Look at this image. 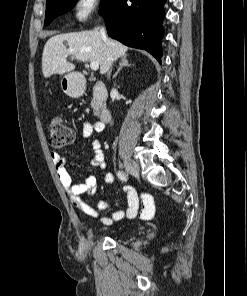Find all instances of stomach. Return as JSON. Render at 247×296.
I'll use <instances>...</instances> for the list:
<instances>
[{"instance_id": "1", "label": "stomach", "mask_w": 247, "mask_h": 296, "mask_svg": "<svg viewBox=\"0 0 247 296\" xmlns=\"http://www.w3.org/2000/svg\"><path fill=\"white\" fill-rule=\"evenodd\" d=\"M61 86L65 93L70 96H78L82 92L81 86L77 81V77L75 74H69L62 78Z\"/></svg>"}]
</instances>
